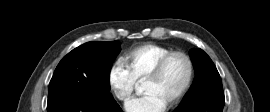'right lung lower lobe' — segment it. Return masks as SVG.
Wrapping results in <instances>:
<instances>
[{
    "label": "right lung lower lobe",
    "mask_w": 270,
    "mask_h": 112,
    "mask_svg": "<svg viewBox=\"0 0 270 112\" xmlns=\"http://www.w3.org/2000/svg\"><path fill=\"white\" fill-rule=\"evenodd\" d=\"M47 112H123L114 100L112 103L96 101L84 93L72 92L47 103Z\"/></svg>",
    "instance_id": "right-lung-lower-lobe-1"
}]
</instances>
